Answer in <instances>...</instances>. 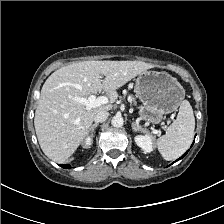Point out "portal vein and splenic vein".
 <instances>
[{
  "label": "portal vein and splenic vein",
  "mask_w": 224,
  "mask_h": 224,
  "mask_svg": "<svg viewBox=\"0 0 224 224\" xmlns=\"http://www.w3.org/2000/svg\"><path fill=\"white\" fill-rule=\"evenodd\" d=\"M72 99L77 103L85 105L87 109H91L108 103V98L105 96L96 97L95 95H90L88 98L75 96Z\"/></svg>",
  "instance_id": "18ae733b"
}]
</instances>
